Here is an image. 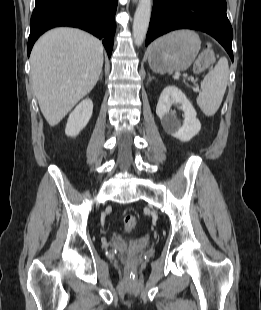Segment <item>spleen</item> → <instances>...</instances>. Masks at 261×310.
<instances>
[{
	"label": "spleen",
	"instance_id": "obj_1",
	"mask_svg": "<svg viewBox=\"0 0 261 310\" xmlns=\"http://www.w3.org/2000/svg\"><path fill=\"white\" fill-rule=\"evenodd\" d=\"M228 77V60L222 57L201 82V92L196 101L206 116H213L219 109L226 91Z\"/></svg>",
	"mask_w": 261,
	"mask_h": 310
}]
</instances>
